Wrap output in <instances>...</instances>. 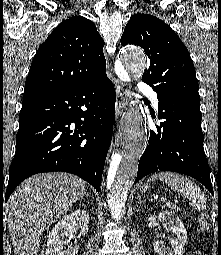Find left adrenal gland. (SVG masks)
I'll use <instances>...</instances> for the list:
<instances>
[{"instance_id": "obj_1", "label": "left adrenal gland", "mask_w": 221, "mask_h": 255, "mask_svg": "<svg viewBox=\"0 0 221 255\" xmlns=\"http://www.w3.org/2000/svg\"><path fill=\"white\" fill-rule=\"evenodd\" d=\"M144 202V200L141 198V195L138 196L137 204Z\"/></svg>"}]
</instances>
